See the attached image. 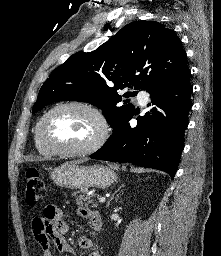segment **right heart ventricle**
Wrapping results in <instances>:
<instances>
[{
    "label": "right heart ventricle",
    "instance_id": "right-heart-ventricle-1",
    "mask_svg": "<svg viewBox=\"0 0 221 256\" xmlns=\"http://www.w3.org/2000/svg\"><path fill=\"white\" fill-rule=\"evenodd\" d=\"M34 143L35 147L38 150V152L44 156H52L54 153L50 152L49 150L45 149L41 144L39 143L36 135V128H35V133H34Z\"/></svg>",
    "mask_w": 221,
    "mask_h": 256
}]
</instances>
